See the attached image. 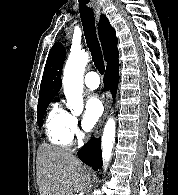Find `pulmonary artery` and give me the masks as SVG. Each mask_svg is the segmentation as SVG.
Returning a JSON list of instances; mask_svg holds the SVG:
<instances>
[{
    "label": "pulmonary artery",
    "mask_w": 178,
    "mask_h": 195,
    "mask_svg": "<svg viewBox=\"0 0 178 195\" xmlns=\"http://www.w3.org/2000/svg\"><path fill=\"white\" fill-rule=\"evenodd\" d=\"M84 84L87 88L95 90L100 86V78L96 72H88L84 77Z\"/></svg>",
    "instance_id": "pulmonary-artery-1"
}]
</instances>
